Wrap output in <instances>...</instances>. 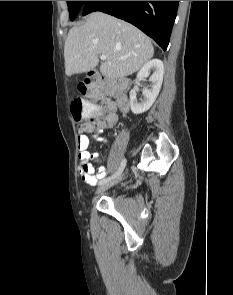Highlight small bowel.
Masks as SVG:
<instances>
[{
    "label": "small bowel",
    "mask_w": 233,
    "mask_h": 295,
    "mask_svg": "<svg viewBox=\"0 0 233 295\" xmlns=\"http://www.w3.org/2000/svg\"><path fill=\"white\" fill-rule=\"evenodd\" d=\"M102 99L108 110V114L105 120L87 124L86 126L79 129L80 134L78 136V157L81 161V164L79 166V173L81 175V178L89 185H95L99 179L103 178L106 175V168L101 166L95 173L92 161L97 162L99 160V153L90 152L88 150L90 141L85 132H95V140L102 143H107L103 132L107 128L113 127L117 121V115L115 113L116 104L105 96H103Z\"/></svg>",
    "instance_id": "1"
}]
</instances>
